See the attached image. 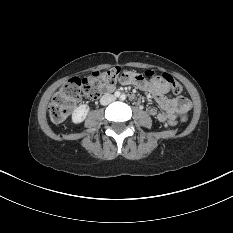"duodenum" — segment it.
<instances>
[{"label":"duodenum","instance_id":"1","mask_svg":"<svg viewBox=\"0 0 233 233\" xmlns=\"http://www.w3.org/2000/svg\"><path fill=\"white\" fill-rule=\"evenodd\" d=\"M130 98L133 100H136L135 96L133 94H130Z\"/></svg>","mask_w":233,"mask_h":233}]
</instances>
